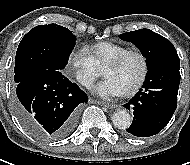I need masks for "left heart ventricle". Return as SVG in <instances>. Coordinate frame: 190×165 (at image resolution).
I'll list each match as a JSON object with an SVG mask.
<instances>
[{"mask_svg":"<svg viewBox=\"0 0 190 165\" xmlns=\"http://www.w3.org/2000/svg\"><path fill=\"white\" fill-rule=\"evenodd\" d=\"M142 63L137 56L128 57L116 68H105L103 74L110 78L124 91L131 88L140 78Z\"/></svg>","mask_w":190,"mask_h":165,"instance_id":"obj_1","label":"left heart ventricle"}]
</instances>
